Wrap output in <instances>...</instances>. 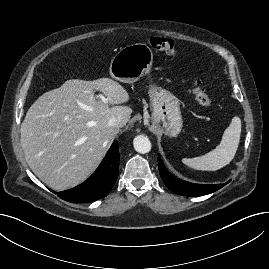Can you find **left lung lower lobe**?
Instances as JSON below:
<instances>
[{"label":"left lung lower lobe","mask_w":269,"mask_h":269,"mask_svg":"<svg viewBox=\"0 0 269 269\" xmlns=\"http://www.w3.org/2000/svg\"><path fill=\"white\" fill-rule=\"evenodd\" d=\"M158 167H159L160 176L163 182L165 183V185L169 189H171L173 192L180 195L202 196V195L215 192L224 186V184H214V185L194 184V183H189V182L180 180L168 172V170L165 168L164 164L162 163V160L160 157H158Z\"/></svg>","instance_id":"0a47b994"}]
</instances>
